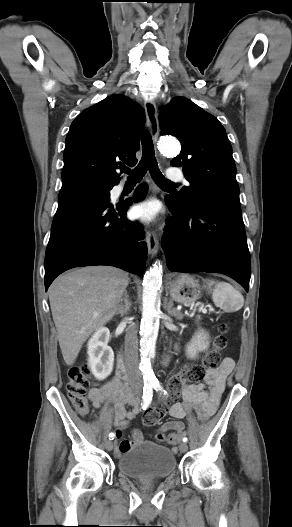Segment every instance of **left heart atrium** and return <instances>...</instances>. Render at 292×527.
Wrapping results in <instances>:
<instances>
[{
	"mask_svg": "<svg viewBox=\"0 0 292 527\" xmlns=\"http://www.w3.org/2000/svg\"><path fill=\"white\" fill-rule=\"evenodd\" d=\"M135 217L144 221L150 222L156 216V208L153 202H144L136 206L134 210Z\"/></svg>",
	"mask_w": 292,
	"mask_h": 527,
	"instance_id": "1",
	"label": "left heart atrium"
}]
</instances>
